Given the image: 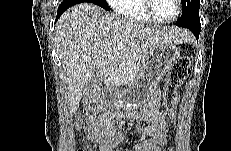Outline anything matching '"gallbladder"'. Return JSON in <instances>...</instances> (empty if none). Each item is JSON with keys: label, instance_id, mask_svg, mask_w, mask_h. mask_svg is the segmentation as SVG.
<instances>
[{"label": "gallbladder", "instance_id": "1", "mask_svg": "<svg viewBox=\"0 0 231 151\" xmlns=\"http://www.w3.org/2000/svg\"><path fill=\"white\" fill-rule=\"evenodd\" d=\"M99 84H100V72L96 70L84 88L83 95H82L84 100H90L94 97L95 90L99 86Z\"/></svg>", "mask_w": 231, "mask_h": 151}]
</instances>
